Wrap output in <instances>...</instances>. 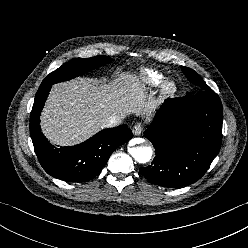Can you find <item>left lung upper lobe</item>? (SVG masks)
Wrapping results in <instances>:
<instances>
[{
	"instance_id": "1",
	"label": "left lung upper lobe",
	"mask_w": 248,
	"mask_h": 248,
	"mask_svg": "<svg viewBox=\"0 0 248 248\" xmlns=\"http://www.w3.org/2000/svg\"><path fill=\"white\" fill-rule=\"evenodd\" d=\"M183 73L186 75L188 80L199 87V92L203 91H212L209 86L203 81V79L192 69L187 67H182ZM186 95H192L191 93H187Z\"/></svg>"
}]
</instances>
